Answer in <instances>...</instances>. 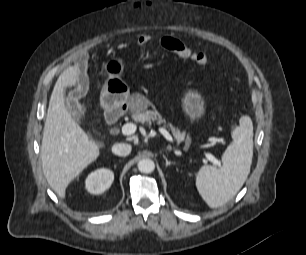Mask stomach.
Here are the masks:
<instances>
[{
	"label": "stomach",
	"mask_w": 306,
	"mask_h": 255,
	"mask_svg": "<svg viewBox=\"0 0 306 255\" xmlns=\"http://www.w3.org/2000/svg\"><path fill=\"white\" fill-rule=\"evenodd\" d=\"M104 68L109 74V79L101 90L100 104L105 111H111L121 108L128 102L129 88L115 74L124 69V61L121 58L111 59L104 64ZM161 72L172 88L180 89L188 83V71L178 59H167L162 64ZM183 109L192 119L201 117L204 113V102L201 96L196 92H187L183 99Z\"/></svg>",
	"instance_id": "stomach-1"
}]
</instances>
